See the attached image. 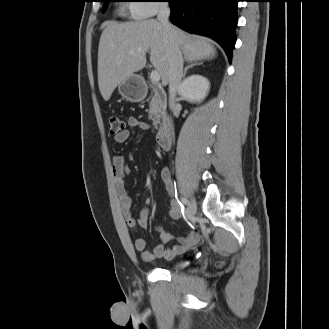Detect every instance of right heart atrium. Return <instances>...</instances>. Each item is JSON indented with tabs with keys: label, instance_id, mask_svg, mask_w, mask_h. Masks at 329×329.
<instances>
[{
	"label": "right heart atrium",
	"instance_id": "d8ad5b80",
	"mask_svg": "<svg viewBox=\"0 0 329 329\" xmlns=\"http://www.w3.org/2000/svg\"><path fill=\"white\" fill-rule=\"evenodd\" d=\"M162 0H131L129 13L134 19H145L154 16L161 8Z\"/></svg>",
	"mask_w": 329,
	"mask_h": 329
}]
</instances>
